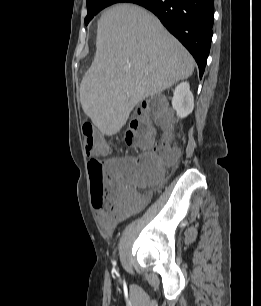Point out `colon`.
Instances as JSON below:
<instances>
[{"mask_svg":"<svg viewBox=\"0 0 261 306\" xmlns=\"http://www.w3.org/2000/svg\"><path fill=\"white\" fill-rule=\"evenodd\" d=\"M154 124L163 127L165 136L155 142ZM172 119L160 97L150 98L137 113L126 132L125 140L130 146L143 150L139 157L123 158L104 164L91 157L88 161L94 207L113 212L117 206L126 204L133 196L136 185H158L164 176L165 166L173 164L178 152L170 146ZM84 147L88 155L102 153L105 144L95 138L92 125L82 130Z\"/></svg>","mask_w":261,"mask_h":306,"instance_id":"obj_1","label":"colon"}]
</instances>
